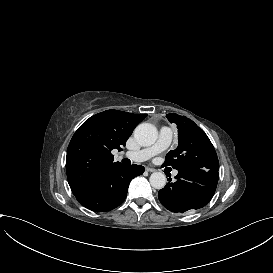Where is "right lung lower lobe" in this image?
<instances>
[{
    "label": "right lung lower lobe",
    "instance_id": "obj_1",
    "mask_svg": "<svg viewBox=\"0 0 273 273\" xmlns=\"http://www.w3.org/2000/svg\"><path fill=\"white\" fill-rule=\"evenodd\" d=\"M144 170L139 165L115 166L74 195L80 204L92 211L112 210L125 200L130 181Z\"/></svg>",
    "mask_w": 273,
    "mask_h": 273
}]
</instances>
